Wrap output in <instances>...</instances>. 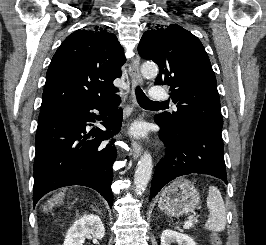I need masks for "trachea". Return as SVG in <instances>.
<instances>
[{
  "label": "trachea",
  "instance_id": "3493384b",
  "mask_svg": "<svg viewBox=\"0 0 266 245\" xmlns=\"http://www.w3.org/2000/svg\"><path fill=\"white\" fill-rule=\"evenodd\" d=\"M137 101L140 105H162L165 104V102H153V100H150L145 93L141 90L140 87H136L135 90Z\"/></svg>",
  "mask_w": 266,
  "mask_h": 245
}]
</instances>
